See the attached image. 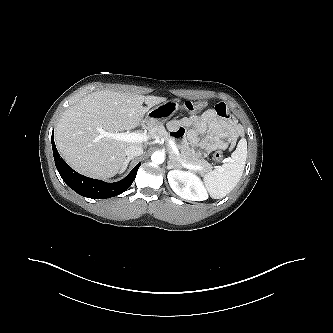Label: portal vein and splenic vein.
<instances>
[{
  "label": "portal vein and splenic vein",
  "mask_w": 333,
  "mask_h": 333,
  "mask_svg": "<svg viewBox=\"0 0 333 333\" xmlns=\"http://www.w3.org/2000/svg\"><path fill=\"white\" fill-rule=\"evenodd\" d=\"M103 136L115 139V140H119V141H125V142H137V143H143L148 141V139L150 138L149 135H145L142 133H137V132H133V133H109V132H102ZM168 144L170 145V147L172 148V150L174 151L175 154L179 155V151L174 143V141L172 139H168ZM229 159H224L223 162H227ZM182 165L188 169H192V170H201L202 167L198 166V165H187L184 162H182Z\"/></svg>",
  "instance_id": "obj_1"
}]
</instances>
